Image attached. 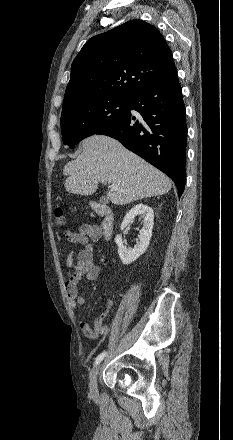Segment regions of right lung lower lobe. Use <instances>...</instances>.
Instances as JSON below:
<instances>
[{
    "mask_svg": "<svg viewBox=\"0 0 233 440\" xmlns=\"http://www.w3.org/2000/svg\"><path fill=\"white\" fill-rule=\"evenodd\" d=\"M140 113L139 120L130 110ZM98 134L120 141L167 174L178 188L185 187L187 125L182 89L176 70L162 80L135 92L125 113Z\"/></svg>",
    "mask_w": 233,
    "mask_h": 440,
    "instance_id": "98d812e1",
    "label": "right lung lower lobe"
}]
</instances>
